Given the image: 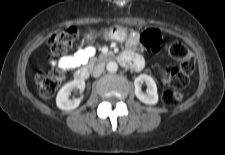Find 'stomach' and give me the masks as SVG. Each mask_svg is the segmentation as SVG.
<instances>
[{"label":"stomach","mask_w":225,"mask_h":155,"mask_svg":"<svg viewBox=\"0 0 225 155\" xmlns=\"http://www.w3.org/2000/svg\"><path fill=\"white\" fill-rule=\"evenodd\" d=\"M105 36L111 40L124 41L127 37V32L120 26H113L105 32Z\"/></svg>","instance_id":"stomach-1"}]
</instances>
